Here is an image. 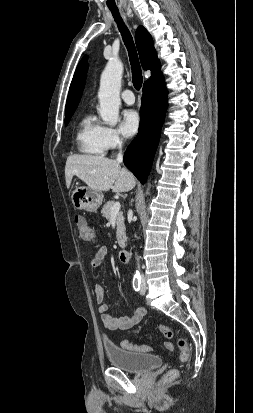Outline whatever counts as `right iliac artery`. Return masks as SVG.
<instances>
[{
    "label": "right iliac artery",
    "mask_w": 253,
    "mask_h": 413,
    "mask_svg": "<svg viewBox=\"0 0 253 413\" xmlns=\"http://www.w3.org/2000/svg\"><path fill=\"white\" fill-rule=\"evenodd\" d=\"M140 286H141V277H140V274L137 273L134 275V278H133V288L135 291L138 292L140 290Z\"/></svg>",
    "instance_id": "1"
}]
</instances>
